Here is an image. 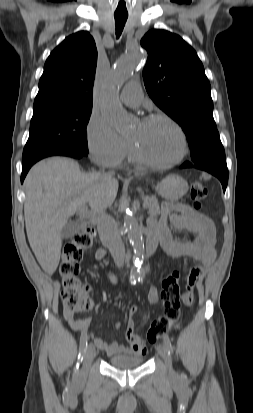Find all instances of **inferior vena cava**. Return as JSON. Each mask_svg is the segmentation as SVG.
I'll list each match as a JSON object with an SVG mask.
<instances>
[{
  "label": "inferior vena cava",
  "mask_w": 253,
  "mask_h": 413,
  "mask_svg": "<svg viewBox=\"0 0 253 413\" xmlns=\"http://www.w3.org/2000/svg\"><path fill=\"white\" fill-rule=\"evenodd\" d=\"M102 174L105 177H112L114 172L105 173L103 169ZM97 229L102 243L108 247L116 265L120 268L124 263L125 247L114 220L105 212L100 214Z\"/></svg>",
  "instance_id": "602c4592"
}]
</instances>
